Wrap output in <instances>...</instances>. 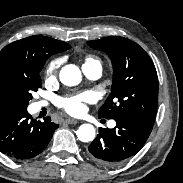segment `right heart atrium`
I'll return each instance as SVG.
<instances>
[{"mask_svg":"<svg viewBox=\"0 0 183 183\" xmlns=\"http://www.w3.org/2000/svg\"><path fill=\"white\" fill-rule=\"evenodd\" d=\"M60 62L59 60H51L44 68V77L47 81L54 80L57 76Z\"/></svg>","mask_w":183,"mask_h":183,"instance_id":"1","label":"right heart atrium"}]
</instances>
